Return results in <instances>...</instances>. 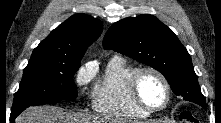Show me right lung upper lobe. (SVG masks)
I'll use <instances>...</instances> for the list:
<instances>
[{"label": "right lung upper lobe", "mask_w": 221, "mask_h": 123, "mask_svg": "<svg viewBox=\"0 0 221 123\" xmlns=\"http://www.w3.org/2000/svg\"><path fill=\"white\" fill-rule=\"evenodd\" d=\"M101 32L100 20L86 14H75L40 42L31 58L81 60Z\"/></svg>", "instance_id": "1"}]
</instances>
